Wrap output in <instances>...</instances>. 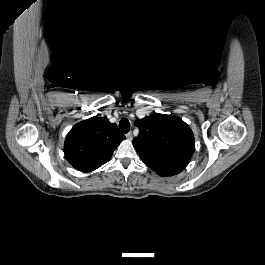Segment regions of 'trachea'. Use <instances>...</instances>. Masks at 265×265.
Here are the masks:
<instances>
[{
    "mask_svg": "<svg viewBox=\"0 0 265 265\" xmlns=\"http://www.w3.org/2000/svg\"><path fill=\"white\" fill-rule=\"evenodd\" d=\"M119 129L122 133H128L130 130V122L127 118H122L119 122Z\"/></svg>",
    "mask_w": 265,
    "mask_h": 265,
    "instance_id": "trachea-1",
    "label": "trachea"
}]
</instances>
